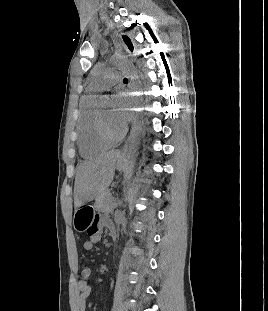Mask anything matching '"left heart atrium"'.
Segmentation results:
<instances>
[{
  "label": "left heart atrium",
  "mask_w": 268,
  "mask_h": 311,
  "mask_svg": "<svg viewBox=\"0 0 268 311\" xmlns=\"http://www.w3.org/2000/svg\"><path fill=\"white\" fill-rule=\"evenodd\" d=\"M126 96L125 94H116L114 96L115 98V106L116 108L114 109V115L116 120L123 126L127 123L129 120V114L127 111L130 109L128 108H123V106L126 104V102L122 99V97Z\"/></svg>",
  "instance_id": "obj_1"
}]
</instances>
